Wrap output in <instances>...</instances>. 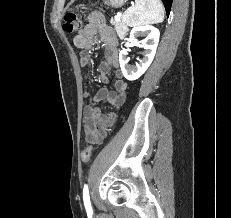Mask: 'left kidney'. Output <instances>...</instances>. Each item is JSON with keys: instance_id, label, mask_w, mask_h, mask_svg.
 Wrapping results in <instances>:
<instances>
[{"instance_id": "5707ae66", "label": "left kidney", "mask_w": 231, "mask_h": 218, "mask_svg": "<svg viewBox=\"0 0 231 218\" xmlns=\"http://www.w3.org/2000/svg\"><path fill=\"white\" fill-rule=\"evenodd\" d=\"M140 35L147 36L141 45L145 49V51L143 54V59L140 61V64L136 65L135 67L128 66V50L123 49L119 53L120 67L124 77L128 80H136L142 74H144V72L152 63L158 46L160 32L156 27L152 25L134 27L130 32V37L127 40L125 46L128 47L129 43L135 42L136 38Z\"/></svg>"}]
</instances>
